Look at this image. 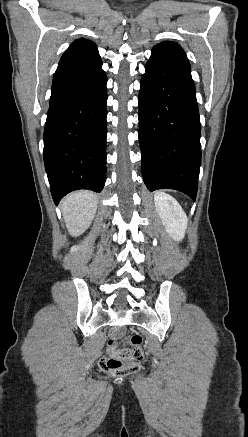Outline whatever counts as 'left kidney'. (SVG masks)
Wrapping results in <instances>:
<instances>
[{"mask_svg": "<svg viewBox=\"0 0 248 437\" xmlns=\"http://www.w3.org/2000/svg\"><path fill=\"white\" fill-rule=\"evenodd\" d=\"M154 202L156 211L166 231L174 240H182L185 235L188 220L180 204L172 196L164 192H156Z\"/></svg>", "mask_w": 248, "mask_h": 437, "instance_id": "left-kidney-1", "label": "left kidney"}]
</instances>
